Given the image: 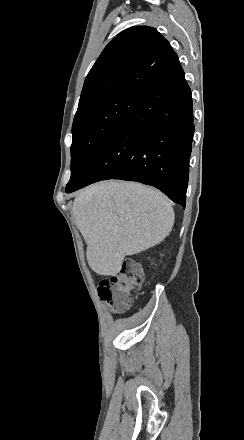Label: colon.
<instances>
[{
	"mask_svg": "<svg viewBox=\"0 0 244 440\" xmlns=\"http://www.w3.org/2000/svg\"><path fill=\"white\" fill-rule=\"evenodd\" d=\"M143 282V276L134 260L123 262L120 271L103 278L97 286L98 298L114 313L127 310Z\"/></svg>",
	"mask_w": 244,
	"mask_h": 440,
	"instance_id": "1",
	"label": "colon"
}]
</instances>
